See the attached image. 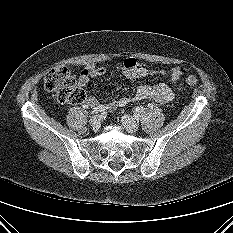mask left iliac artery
Wrapping results in <instances>:
<instances>
[{"label": "left iliac artery", "mask_w": 233, "mask_h": 233, "mask_svg": "<svg viewBox=\"0 0 233 233\" xmlns=\"http://www.w3.org/2000/svg\"><path fill=\"white\" fill-rule=\"evenodd\" d=\"M143 110H144L143 106H138V107L135 109L136 113H141V112H143ZM135 117H137V116H135Z\"/></svg>", "instance_id": "44dca946"}]
</instances>
